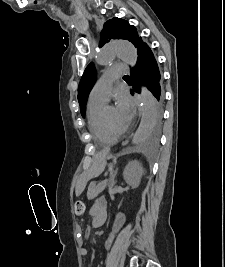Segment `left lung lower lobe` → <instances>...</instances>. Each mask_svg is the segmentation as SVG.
<instances>
[{"label":"left lung lower lobe","instance_id":"1","mask_svg":"<svg viewBox=\"0 0 225 267\" xmlns=\"http://www.w3.org/2000/svg\"><path fill=\"white\" fill-rule=\"evenodd\" d=\"M137 63L131 70L130 77L133 82V89L130 90L139 93L140 87L145 85L152 93L156 104L162 108L163 105V89L161 74L156 59L150 47L142 39L139 40L137 46Z\"/></svg>","mask_w":225,"mask_h":267}]
</instances>
